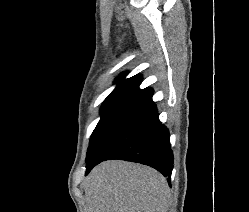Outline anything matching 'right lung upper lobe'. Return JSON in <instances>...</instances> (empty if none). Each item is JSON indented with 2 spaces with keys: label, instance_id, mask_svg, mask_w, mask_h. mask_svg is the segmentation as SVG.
Masks as SVG:
<instances>
[{
  "label": "right lung upper lobe",
  "instance_id": "cb5924a9",
  "mask_svg": "<svg viewBox=\"0 0 249 212\" xmlns=\"http://www.w3.org/2000/svg\"><path fill=\"white\" fill-rule=\"evenodd\" d=\"M128 72L122 73L115 82L117 83V86L115 89L110 93V95H131L135 97H142L145 95H148L150 93H153L152 88H145L140 89L139 85L142 82V76L141 75H135L128 79H125V76ZM109 95V96H110Z\"/></svg>",
  "mask_w": 249,
  "mask_h": 212
}]
</instances>
